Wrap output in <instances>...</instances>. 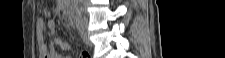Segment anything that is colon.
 I'll use <instances>...</instances> for the list:
<instances>
[{"instance_id": "5ec220e1", "label": "colon", "mask_w": 225, "mask_h": 58, "mask_svg": "<svg viewBox=\"0 0 225 58\" xmlns=\"http://www.w3.org/2000/svg\"><path fill=\"white\" fill-rule=\"evenodd\" d=\"M79 58H91L90 53L88 51H82L80 53Z\"/></svg>"}]
</instances>
